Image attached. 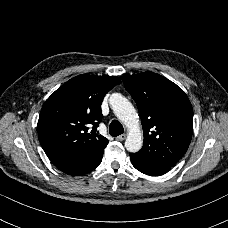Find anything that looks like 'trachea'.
I'll return each instance as SVG.
<instances>
[{"label": "trachea", "mask_w": 228, "mask_h": 228, "mask_svg": "<svg viewBox=\"0 0 228 228\" xmlns=\"http://www.w3.org/2000/svg\"><path fill=\"white\" fill-rule=\"evenodd\" d=\"M124 132V128L122 126V124L117 121V120H113L110 125H109V134L113 137L119 136L120 134H122Z\"/></svg>", "instance_id": "obj_1"}]
</instances>
